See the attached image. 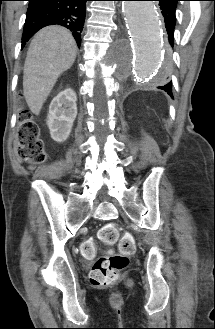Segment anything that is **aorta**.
<instances>
[{
	"label": "aorta",
	"instance_id": "obj_1",
	"mask_svg": "<svg viewBox=\"0 0 215 329\" xmlns=\"http://www.w3.org/2000/svg\"><path fill=\"white\" fill-rule=\"evenodd\" d=\"M126 27L135 50L134 67L142 80H159L163 55L161 17L152 1H124Z\"/></svg>",
	"mask_w": 215,
	"mask_h": 329
}]
</instances>
